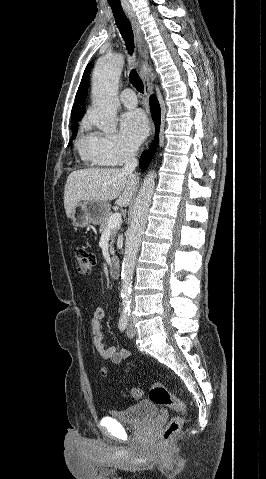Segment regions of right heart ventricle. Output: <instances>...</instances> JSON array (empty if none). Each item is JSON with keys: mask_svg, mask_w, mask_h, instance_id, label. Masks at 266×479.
Instances as JSON below:
<instances>
[{"mask_svg": "<svg viewBox=\"0 0 266 479\" xmlns=\"http://www.w3.org/2000/svg\"><path fill=\"white\" fill-rule=\"evenodd\" d=\"M76 146L80 156L84 161L95 165H106L95 156L91 135L82 132Z\"/></svg>", "mask_w": 266, "mask_h": 479, "instance_id": "right-heart-ventricle-1", "label": "right heart ventricle"}]
</instances>
